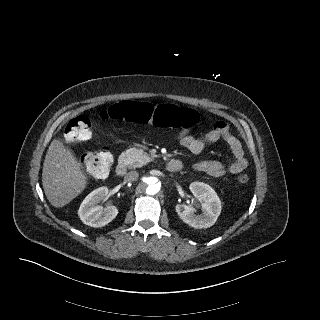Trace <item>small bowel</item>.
<instances>
[{"label":"small bowel","mask_w":320,"mask_h":320,"mask_svg":"<svg viewBox=\"0 0 320 320\" xmlns=\"http://www.w3.org/2000/svg\"><path fill=\"white\" fill-rule=\"evenodd\" d=\"M219 140H223L228 145L234 156V160L229 164L217 160L200 161L194 165V169L212 177H222L226 174H238L245 170L248 166V161L245 158L242 143L230 132L225 122H215L213 129L203 136L188 134L186 130H182L179 133L180 145L193 154H200L206 145L215 143Z\"/></svg>","instance_id":"obj_1"}]
</instances>
